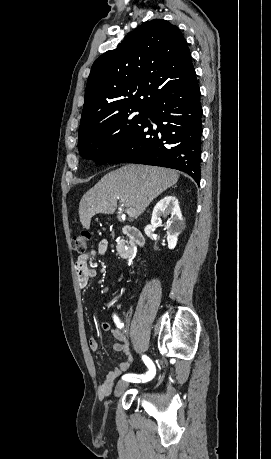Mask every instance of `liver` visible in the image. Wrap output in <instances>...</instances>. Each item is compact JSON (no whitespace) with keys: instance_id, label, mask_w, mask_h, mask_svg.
Here are the masks:
<instances>
[{"instance_id":"liver-1","label":"liver","mask_w":271,"mask_h":459,"mask_svg":"<svg viewBox=\"0 0 271 459\" xmlns=\"http://www.w3.org/2000/svg\"><path fill=\"white\" fill-rule=\"evenodd\" d=\"M178 178L175 170L135 164L109 172L80 200V222L83 228L89 229L95 214H114L117 200L125 208H134L136 216H140L152 200L174 186Z\"/></svg>"}]
</instances>
